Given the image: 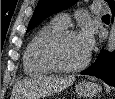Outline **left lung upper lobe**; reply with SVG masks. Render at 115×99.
Wrapping results in <instances>:
<instances>
[{
    "label": "left lung upper lobe",
    "mask_w": 115,
    "mask_h": 99,
    "mask_svg": "<svg viewBox=\"0 0 115 99\" xmlns=\"http://www.w3.org/2000/svg\"><path fill=\"white\" fill-rule=\"evenodd\" d=\"M76 1L77 0H39L35 12L29 22L27 32L50 15L69 8ZM106 1L109 3V6L114 3L113 0Z\"/></svg>",
    "instance_id": "obj_1"
}]
</instances>
